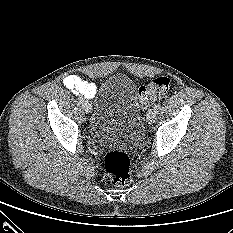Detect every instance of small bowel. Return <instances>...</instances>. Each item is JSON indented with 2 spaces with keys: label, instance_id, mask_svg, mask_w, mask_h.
I'll return each mask as SVG.
<instances>
[{
  "label": "small bowel",
  "instance_id": "obj_1",
  "mask_svg": "<svg viewBox=\"0 0 233 233\" xmlns=\"http://www.w3.org/2000/svg\"><path fill=\"white\" fill-rule=\"evenodd\" d=\"M63 84L74 94L82 95L87 98H93L97 92L96 84L88 82L75 74L66 76L63 80Z\"/></svg>",
  "mask_w": 233,
  "mask_h": 233
}]
</instances>
